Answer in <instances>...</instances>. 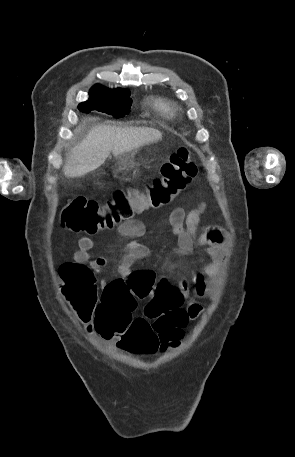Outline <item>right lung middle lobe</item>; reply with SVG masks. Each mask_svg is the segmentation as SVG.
<instances>
[{
  "label": "right lung middle lobe",
  "mask_w": 295,
  "mask_h": 457,
  "mask_svg": "<svg viewBox=\"0 0 295 457\" xmlns=\"http://www.w3.org/2000/svg\"><path fill=\"white\" fill-rule=\"evenodd\" d=\"M89 99L79 104L80 111L89 113L91 110L104 112L115 118H120L129 113L132 100L128 90L90 91Z\"/></svg>",
  "instance_id": "1"
}]
</instances>
